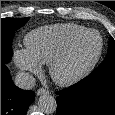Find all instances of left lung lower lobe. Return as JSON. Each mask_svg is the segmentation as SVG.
Masks as SVG:
<instances>
[{"mask_svg": "<svg viewBox=\"0 0 115 115\" xmlns=\"http://www.w3.org/2000/svg\"><path fill=\"white\" fill-rule=\"evenodd\" d=\"M56 94V115H115V70L92 72Z\"/></svg>", "mask_w": 115, "mask_h": 115, "instance_id": "obj_1", "label": "left lung lower lobe"}]
</instances>
